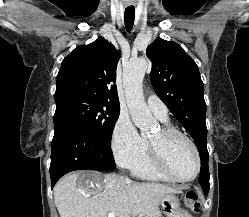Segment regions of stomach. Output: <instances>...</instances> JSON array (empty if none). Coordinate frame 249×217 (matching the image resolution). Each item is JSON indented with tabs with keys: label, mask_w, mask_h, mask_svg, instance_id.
Returning a JSON list of instances; mask_svg holds the SVG:
<instances>
[{
	"label": "stomach",
	"mask_w": 249,
	"mask_h": 217,
	"mask_svg": "<svg viewBox=\"0 0 249 217\" xmlns=\"http://www.w3.org/2000/svg\"><path fill=\"white\" fill-rule=\"evenodd\" d=\"M160 206L163 213H165L168 217H174L179 209V200L172 194H166L160 200Z\"/></svg>",
	"instance_id": "obj_1"
}]
</instances>
